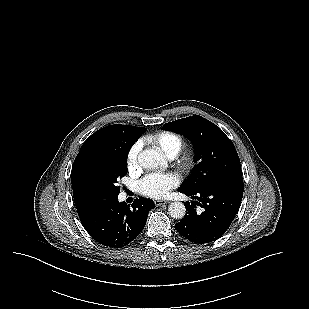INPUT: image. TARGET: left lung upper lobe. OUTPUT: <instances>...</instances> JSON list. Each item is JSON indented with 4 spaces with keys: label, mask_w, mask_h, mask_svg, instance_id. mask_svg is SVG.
<instances>
[{
    "label": "left lung upper lobe",
    "mask_w": 309,
    "mask_h": 309,
    "mask_svg": "<svg viewBox=\"0 0 309 309\" xmlns=\"http://www.w3.org/2000/svg\"><path fill=\"white\" fill-rule=\"evenodd\" d=\"M164 130L187 137L195 148V161L179 191L196 192L226 182H243L240 160L234 144L209 120L193 115L163 125Z\"/></svg>",
    "instance_id": "1"
}]
</instances>
